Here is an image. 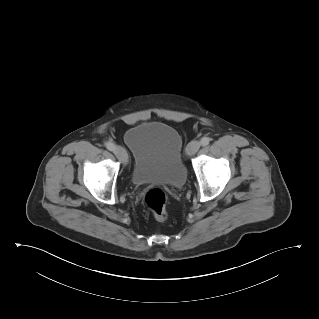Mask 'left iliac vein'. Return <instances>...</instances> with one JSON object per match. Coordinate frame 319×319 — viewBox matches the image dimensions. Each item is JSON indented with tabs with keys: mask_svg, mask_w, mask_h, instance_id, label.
Segmentation results:
<instances>
[{
	"mask_svg": "<svg viewBox=\"0 0 319 319\" xmlns=\"http://www.w3.org/2000/svg\"><path fill=\"white\" fill-rule=\"evenodd\" d=\"M200 145V142L197 140L191 141L186 148V154L188 156L194 155L199 150Z\"/></svg>",
	"mask_w": 319,
	"mask_h": 319,
	"instance_id": "4c4485c4",
	"label": "left iliac vein"
}]
</instances>
